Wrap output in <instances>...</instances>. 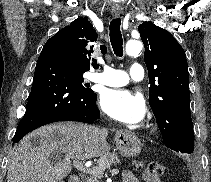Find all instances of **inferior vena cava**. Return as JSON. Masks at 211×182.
I'll return each instance as SVG.
<instances>
[{
  "label": "inferior vena cava",
  "mask_w": 211,
  "mask_h": 182,
  "mask_svg": "<svg viewBox=\"0 0 211 182\" xmlns=\"http://www.w3.org/2000/svg\"><path fill=\"white\" fill-rule=\"evenodd\" d=\"M94 133L95 134H100L101 133V127H98V129H95L94 130Z\"/></svg>",
  "instance_id": "obj_1"
}]
</instances>
